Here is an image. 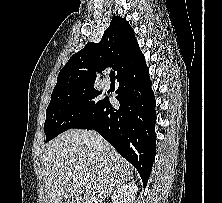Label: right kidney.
Segmentation results:
<instances>
[{
    "label": "right kidney",
    "mask_w": 222,
    "mask_h": 203,
    "mask_svg": "<svg viewBox=\"0 0 222 203\" xmlns=\"http://www.w3.org/2000/svg\"><path fill=\"white\" fill-rule=\"evenodd\" d=\"M138 188L134 182L124 184L114 191L112 203H134Z\"/></svg>",
    "instance_id": "ca27d5eb"
}]
</instances>
